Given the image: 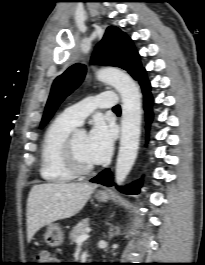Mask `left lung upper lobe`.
<instances>
[{"label": "left lung upper lobe", "mask_w": 205, "mask_h": 265, "mask_svg": "<svg viewBox=\"0 0 205 265\" xmlns=\"http://www.w3.org/2000/svg\"><path fill=\"white\" fill-rule=\"evenodd\" d=\"M91 63L104 66L120 67L137 80L144 69L131 39L119 28H107L103 39L97 45ZM87 68L74 64L53 82L40 128H43L53 116L59 104L71 94L83 81Z\"/></svg>", "instance_id": "left-lung-upper-lobe-1"}]
</instances>
